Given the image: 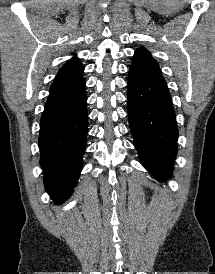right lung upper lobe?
Here are the masks:
<instances>
[{"label": "right lung upper lobe", "instance_id": "1", "mask_svg": "<svg viewBox=\"0 0 215 274\" xmlns=\"http://www.w3.org/2000/svg\"><path fill=\"white\" fill-rule=\"evenodd\" d=\"M84 67L78 58L68 60L59 70L50 89L45 106L56 104L77 92L85 84Z\"/></svg>", "mask_w": 215, "mask_h": 274}]
</instances>
